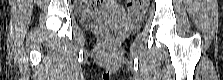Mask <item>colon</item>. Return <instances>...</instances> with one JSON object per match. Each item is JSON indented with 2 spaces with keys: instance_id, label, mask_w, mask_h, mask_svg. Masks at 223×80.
I'll return each instance as SVG.
<instances>
[{
  "instance_id": "colon-1",
  "label": "colon",
  "mask_w": 223,
  "mask_h": 80,
  "mask_svg": "<svg viewBox=\"0 0 223 80\" xmlns=\"http://www.w3.org/2000/svg\"><path fill=\"white\" fill-rule=\"evenodd\" d=\"M145 1H129L128 10L131 14L136 15Z\"/></svg>"
}]
</instances>
